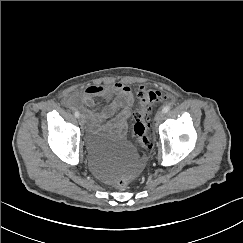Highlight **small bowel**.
<instances>
[{
  "label": "small bowel",
  "instance_id": "c3829d8e",
  "mask_svg": "<svg viewBox=\"0 0 243 243\" xmlns=\"http://www.w3.org/2000/svg\"><path fill=\"white\" fill-rule=\"evenodd\" d=\"M97 99L107 102V105L100 111H92ZM69 107L73 109L82 108L85 114L93 122L104 119L110 121L124 134L127 127V120L131 115L134 94L131 88L121 82L106 85H89L80 92L69 95L66 99Z\"/></svg>",
  "mask_w": 243,
  "mask_h": 243
}]
</instances>
